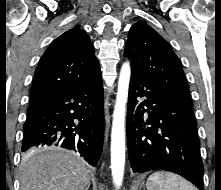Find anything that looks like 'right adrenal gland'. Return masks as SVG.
<instances>
[{
    "mask_svg": "<svg viewBox=\"0 0 221 190\" xmlns=\"http://www.w3.org/2000/svg\"><path fill=\"white\" fill-rule=\"evenodd\" d=\"M90 184L85 188V190H89Z\"/></svg>",
    "mask_w": 221,
    "mask_h": 190,
    "instance_id": "right-adrenal-gland-1",
    "label": "right adrenal gland"
}]
</instances>
